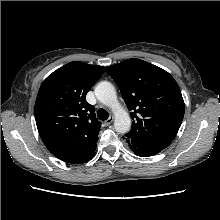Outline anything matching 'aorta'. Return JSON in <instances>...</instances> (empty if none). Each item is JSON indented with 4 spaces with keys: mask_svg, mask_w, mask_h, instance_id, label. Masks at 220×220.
<instances>
[{
    "mask_svg": "<svg viewBox=\"0 0 220 220\" xmlns=\"http://www.w3.org/2000/svg\"><path fill=\"white\" fill-rule=\"evenodd\" d=\"M94 93L101 103L112 109L115 130L121 134L127 133L131 128V119L119 103L114 86L110 82L102 81L95 87Z\"/></svg>",
    "mask_w": 220,
    "mask_h": 220,
    "instance_id": "1",
    "label": "aorta"
}]
</instances>
